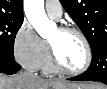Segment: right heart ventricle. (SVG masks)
Returning <instances> with one entry per match:
<instances>
[{
  "label": "right heart ventricle",
  "mask_w": 107,
  "mask_h": 89,
  "mask_svg": "<svg viewBox=\"0 0 107 89\" xmlns=\"http://www.w3.org/2000/svg\"><path fill=\"white\" fill-rule=\"evenodd\" d=\"M40 69H42L43 73L47 75L54 74L57 72V69L55 68L52 62L49 46H48V53Z\"/></svg>",
  "instance_id": "1"
}]
</instances>
